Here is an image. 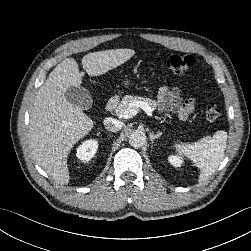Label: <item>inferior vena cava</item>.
<instances>
[{
	"mask_svg": "<svg viewBox=\"0 0 251 251\" xmlns=\"http://www.w3.org/2000/svg\"><path fill=\"white\" fill-rule=\"evenodd\" d=\"M104 126L111 132H117L123 127V122L114 119H105Z\"/></svg>",
	"mask_w": 251,
	"mask_h": 251,
	"instance_id": "obj_1",
	"label": "inferior vena cava"
}]
</instances>
